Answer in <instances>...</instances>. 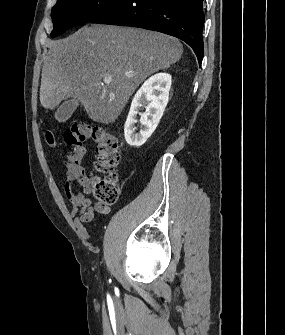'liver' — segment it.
Returning a JSON list of instances; mask_svg holds the SVG:
<instances>
[{"instance_id": "1", "label": "liver", "mask_w": 285, "mask_h": 335, "mask_svg": "<svg viewBox=\"0 0 285 335\" xmlns=\"http://www.w3.org/2000/svg\"><path fill=\"white\" fill-rule=\"evenodd\" d=\"M46 48L41 106L54 110L62 100L72 98L90 120L101 124H113L136 88L183 54L182 44L172 36L103 24L83 26L69 38L50 40ZM105 76H111L110 84H104Z\"/></svg>"}]
</instances>
